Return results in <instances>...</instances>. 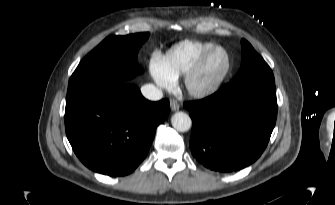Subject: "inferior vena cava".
Returning <instances> with one entry per match:
<instances>
[{
  "label": "inferior vena cava",
  "instance_id": "1",
  "mask_svg": "<svg viewBox=\"0 0 335 205\" xmlns=\"http://www.w3.org/2000/svg\"><path fill=\"white\" fill-rule=\"evenodd\" d=\"M143 96L149 100L157 101L162 99L163 92L153 84H146L141 87Z\"/></svg>",
  "mask_w": 335,
  "mask_h": 205
}]
</instances>
